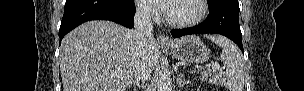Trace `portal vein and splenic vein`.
<instances>
[{"label":"portal vein and splenic vein","mask_w":304,"mask_h":91,"mask_svg":"<svg viewBox=\"0 0 304 91\" xmlns=\"http://www.w3.org/2000/svg\"><path fill=\"white\" fill-rule=\"evenodd\" d=\"M208 68H213V69H220V66H219V64L218 63H212L211 65H208L207 66Z\"/></svg>","instance_id":"obj_1"}]
</instances>
